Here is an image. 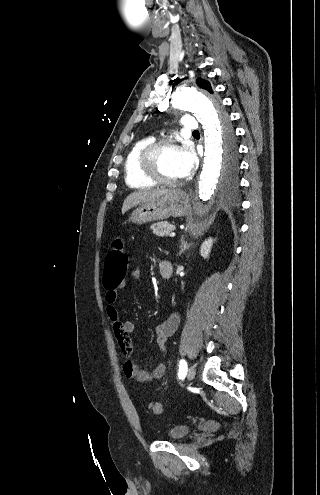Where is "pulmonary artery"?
<instances>
[{"label": "pulmonary artery", "mask_w": 320, "mask_h": 495, "mask_svg": "<svg viewBox=\"0 0 320 495\" xmlns=\"http://www.w3.org/2000/svg\"><path fill=\"white\" fill-rule=\"evenodd\" d=\"M181 126L184 131H197L198 130V123L196 119L192 116H183L181 118Z\"/></svg>", "instance_id": "e3ab8cb5"}]
</instances>
